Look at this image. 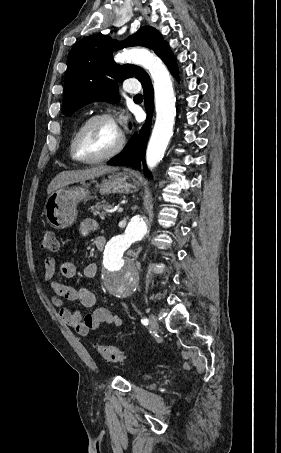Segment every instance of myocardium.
I'll list each match as a JSON object with an SVG mask.
<instances>
[{"label": "myocardium", "instance_id": "myocardium-1", "mask_svg": "<svg viewBox=\"0 0 281 453\" xmlns=\"http://www.w3.org/2000/svg\"><path fill=\"white\" fill-rule=\"evenodd\" d=\"M97 121H106V122H110V123H115L116 124V122L113 119V117L110 114H108V113L95 114V115L89 117L88 119H86L79 126V128L75 132V135H74V138H73V157L78 162H81V163H84V164H94V163H100V162L109 160V159L115 157L117 154H119L120 151L123 149V147L125 145L126 135L122 131V129L120 128V139H119L118 143L114 146L113 149H111L109 152H107V153H105V154H103L101 156H98V157H95V158H92V159L83 158L80 155V151H79L80 140H81L85 130L87 129V127L91 123L97 122Z\"/></svg>", "mask_w": 281, "mask_h": 453}]
</instances>
